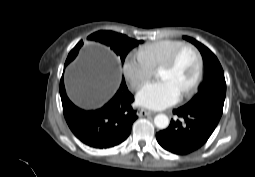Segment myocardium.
Masks as SVG:
<instances>
[{
  "label": "myocardium",
  "mask_w": 255,
  "mask_h": 177,
  "mask_svg": "<svg viewBox=\"0 0 255 177\" xmlns=\"http://www.w3.org/2000/svg\"><path fill=\"white\" fill-rule=\"evenodd\" d=\"M186 49H190L196 54L197 59H198V67H197V73H196L195 79L193 80L192 84L181 93L182 96H187V95L191 94L192 92H194L195 89L198 87V85L201 82V79L203 76V71H204V60H203V56H202L200 50L193 44L184 43L179 48H177L174 51V53L171 55V57L159 67L160 69L173 68L177 64L181 54Z\"/></svg>",
  "instance_id": "myocardium-1"
}]
</instances>
